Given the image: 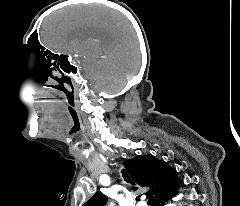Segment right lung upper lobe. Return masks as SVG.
<instances>
[{"instance_id": "cb5924a9", "label": "right lung upper lobe", "mask_w": 240, "mask_h": 206, "mask_svg": "<svg viewBox=\"0 0 240 206\" xmlns=\"http://www.w3.org/2000/svg\"><path fill=\"white\" fill-rule=\"evenodd\" d=\"M124 166L138 186L150 188L149 194L153 195L156 203L177 189L176 170L165 161L157 160L153 155L126 159ZM106 201L107 197L98 191L83 206H103Z\"/></svg>"}]
</instances>
